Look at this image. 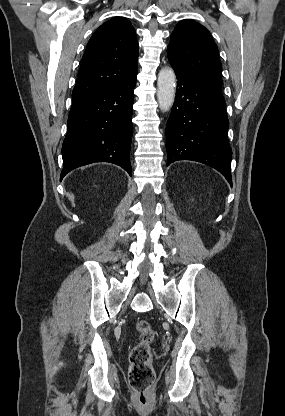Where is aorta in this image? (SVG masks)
Returning <instances> with one entry per match:
<instances>
[{"label": "aorta", "mask_w": 285, "mask_h": 416, "mask_svg": "<svg viewBox=\"0 0 285 416\" xmlns=\"http://www.w3.org/2000/svg\"><path fill=\"white\" fill-rule=\"evenodd\" d=\"M175 73L171 68H163L158 74L157 98L160 109L166 112L172 107L175 100Z\"/></svg>", "instance_id": "aorta-1"}]
</instances>
